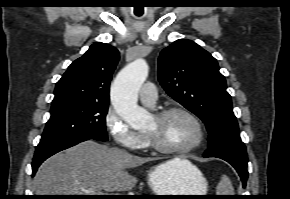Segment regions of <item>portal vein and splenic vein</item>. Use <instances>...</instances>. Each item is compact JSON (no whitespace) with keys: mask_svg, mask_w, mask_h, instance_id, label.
Listing matches in <instances>:
<instances>
[{"mask_svg":"<svg viewBox=\"0 0 290 199\" xmlns=\"http://www.w3.org/2000/svg\"><path fill=\"white\" fill-rule=\"evenodd\" d=\"M87 192H89L91 195H110V194H107V193H103L101 191L95 192L93 190H90V191H87Z\"/></svg>","mask_w":290,"mask_h":199,"instance_id":"obj_1","label":"portal vein and splenic vein"}]
</instances>
